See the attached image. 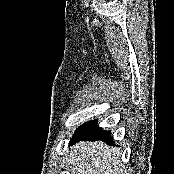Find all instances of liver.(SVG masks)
I'll return each instance as SVG.
<instances>
[{
	"label": "liver",
	"instance_id": "6515ba94",
	"mask_svg": "<svg viewBox=\"0 0 175 174\" xmlns=\"http://www.w3.org/2000/svg\"><path fill=\"white\" fill-rule=\"evenodd\" d=\"M66 163L70 174H124L120 150L102 141L73 145Z\"/></svg>",
	"mask_w": 175,
	"mask_h": 174
}]
</instances>
